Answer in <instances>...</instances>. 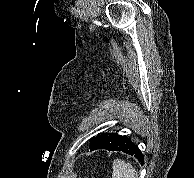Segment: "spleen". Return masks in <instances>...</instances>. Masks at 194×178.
<instances>
[{"mask_svg":"<svg viewBox=\"0 0 194 178\" xmlns=\"http://www.w3.org/2000/svg\"><path fill=\"white\" fill-rule=\"evenodd\" d=\"M113 173L112 178H137V172L132 167L131 164L121 160L116 159L113 161Z\"/></svg>","mask_w":194,"mask_h":178,"instance_id":"1","label":"spleen"}]
</instances>
